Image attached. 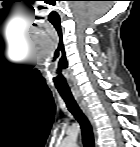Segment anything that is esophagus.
<instances>
[{"mask_svg":"<svg viewBox=\"0 0 140 147\" xmlns=\"http://www.w3.org/2000/svg\"><path fill=\"white\" fill-rule=\"evenodd\" d=\"M76 100L78 101L81 109L83 110L84 114L87 116V118L89 119L91 125L93 126L94 132L96 134V126H95V122L94 119L90 113L89 108L87 107L85 101L79 96V95H75Z\"/></svg>","mask_w":140,"mask_h":147,"instance_id":"esophagus-1","label":"esophagus"}]
</instances>
